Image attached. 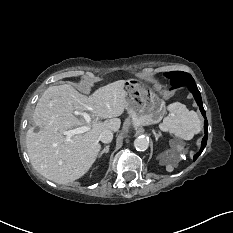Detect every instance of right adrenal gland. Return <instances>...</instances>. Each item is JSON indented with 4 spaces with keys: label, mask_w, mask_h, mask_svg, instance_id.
Listing matches in <instances>:
<instances>
[{
    "label": "right adrenal gland",
    "mask_w": 233,
    "mask_h": 233,
    "mask_svg": "<svg viewBox=\"0 0 233 233\" xmlns=\"http://www.w3.org/2000/svg\"><path fill=\"white\" fill-rule=\"evenodd\" d=\"M109 148H110V146H109V145H106V146L104 147V149L101 151V153L99 154V157H101L103 154L108 153V152H109Z\"/></svg>",
    "instance_id": "obj_1"
}]
</instances>
